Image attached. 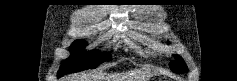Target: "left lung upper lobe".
<instances>
[{"mask_svg": "<svg viewBox=\"0 0 237 81\" xmlns=\"http://www.w3.org/2000/svg\"><path fill=\"white\" fill-rule=\"evenodd\" d=\"M169 65L176 73H185L188 71L184 60L180 56H175V61H171Z\"/></svg>", "mask_w": 237, "mask_h": 81, "instance_id": "1", "label": "left lung upper lobe"}]
</instances>
